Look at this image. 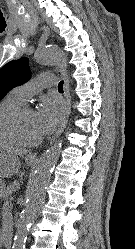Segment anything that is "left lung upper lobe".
I'll return each instance as SVG.
<instances>
[{
    "mask_svg": "<svg viewBox=\"0 0 135 249\" xmlns=\"http://www.w3.org/2000/svg\"><path fill=\"white\" fill-rule=\"evenodd\" d=\"M30 76L28 59L25 57L4 65L0 69V99L14 87L27 82Z\"/></svg>",
    "mask_w": 135,
    "mask_h": 249,
    "instance_id": "5c2ea615",
    "label": "left lung upper lobe"
}]
</instances>
